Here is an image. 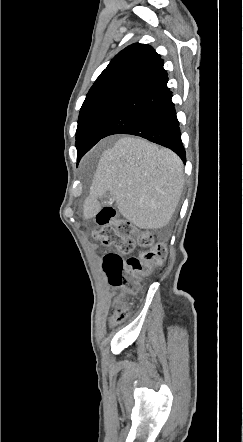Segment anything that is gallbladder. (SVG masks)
<instances>
[{"label":"gallbladder","mask_w":243,"mask_h":442,"mask_svg":"<svg viewBox=\"0 0 243 442\" xmlns=\"http://www.w3.org/2000/svg\"><path fill=\"white\" fill-rule=\"evenodd\" d=\"M114 201V197L110 192H107L102 197V204L105 206H110Z\"/></svg>","instance_id":"1"}]
</instances>
